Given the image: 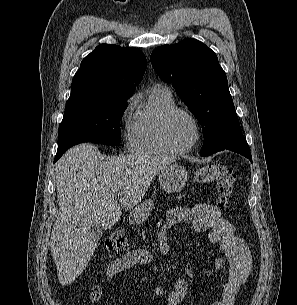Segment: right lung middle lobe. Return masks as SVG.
<instances>
[{
  "mask_svg": "<svg viewBox=\"0 0 297 305\" xmlns=\"http://www.w3.org/2000/svg\"><path fill=\"white\" fill-rule=\"evenodd\" d=\"M129 97L66 104L57 151H66L82 142L119 145V123L127 108Z\"/></svg>",
  "mask_w": 297,
  "mask_h": 305,
  "instance_id": "dd1d6c3e",
  "label": "right lung middle lobe"
}]
</instances>
